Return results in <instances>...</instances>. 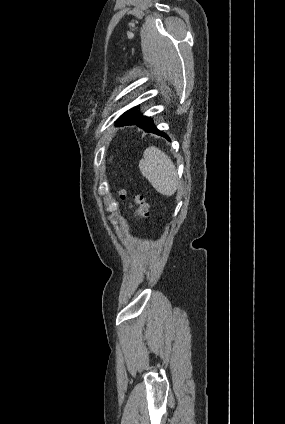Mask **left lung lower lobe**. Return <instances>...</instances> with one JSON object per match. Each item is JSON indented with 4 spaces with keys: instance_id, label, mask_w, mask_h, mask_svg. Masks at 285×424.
Segmentation results:
<instances>
[{
    "instance_id": "0a47b994",
    "label": "left lung lower lobe",
    "mask_w": 285,
    "mask_h": 424,
    "mask_svg": "<svg viewBox=\"0 0 285 424\" xmlns=\"http://www.w3.org/2000/svg\"><path fill=\"white\" fill-rule=\"evenodd\" d=\"M119 125H137L140 128L144 129L146 132H152L157 135L163 136L167 139L168 136L162 131L158 130L155 125L152 123L150 117H146L137 112L136 108H132L122 114L116 123Z\"/></svg>"
}]
</instances>
